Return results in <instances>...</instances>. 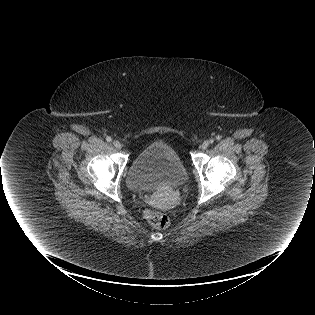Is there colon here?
<instances>
[{
	"label": "colon",
	"instance_id": "5ec220e1",
	"mask_svg": "<svg viewBox=\"0 0 315 315\" xmlns=\"http://www.w3.org/2000/svg\"><path fill=\"white\" fill-rule=\"evenodd\" d=\"M145 219L157 229H165L168 227L169 217L162 212L147 209L144 211Z\"/></svg>",
	"mask_w": 315,
	"mask_h": 315
}]
</instances>
